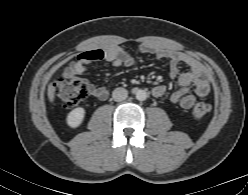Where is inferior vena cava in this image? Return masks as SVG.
Masks as SVG:
<instances>
[{"mask_svg": "<svg viewBox=\"0 0 248 195\" xmlns=\"http://www.w3.org/2000/svg\"><path fill=\"white\" fill-rule=\"evenodd\" d=\"M127 96H128V91L122 87L116 88L112 93V97L116 102H121L125 100Z\"/></svg>", "mask_w": 248, "mask_h": 195, "instance_id": "inferior-vena-cava-1", "label": "inferior vena cava"}]
</instances>
